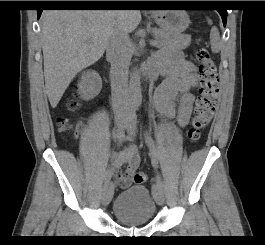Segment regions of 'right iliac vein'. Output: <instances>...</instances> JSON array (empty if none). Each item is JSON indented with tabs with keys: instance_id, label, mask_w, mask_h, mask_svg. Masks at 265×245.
I'll return each instance as SVG.
<instances>
[{
	"instance_id": "63e3f726",
	"label": "right iliac vein",
	"mask_w": 265,
	"mask_h": 245,
	"mask_svg": "<svg viewBox=\"0 0 265 245\" xmlns=\"http://www.w3.org/2000/svg\"><path fill=\"white\" fill-rule=\"evenodd\" d=\"M125 124V119L123 117H118L116 119L117 126H123ZM114 193V185L112 182H107L102 190V203L103 205H108L112 199Z\"/></svg>"
}]
</instances>
